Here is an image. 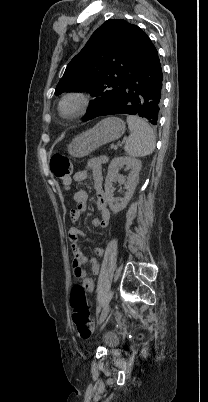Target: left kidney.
Returning a JSON list of instances; mask_svg holds the SVG:
<instances>
[{"instance_id": "left-kidney-1", "label": "left kidney", "mask_w": 208, "mask_h": 402, "mask_svg": "<svg viewBox=\"0 0 208 402\" xmlns=\"http://www.w3.org/2000/svg\"><path fill=\"white\" fill-rule=\"evenodd\" d=\"M126 166L127 170H131L128 174L127 182L125 176H119V168ZM142 168L141 160L136 158H129V156H122V158H113L111 164H109L108 174L105 180V194L110 210L113 214H118L121 210L126 208L129 200H131L134 190L138 184L139 172ZM120 182L125 184L127 192H125L124 198H121L120 204L116 198H113L114 188H112V182Z\"/></svg>"}]
</instances>
